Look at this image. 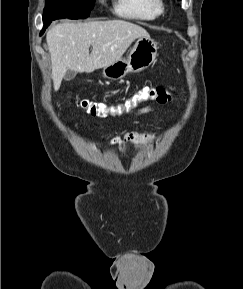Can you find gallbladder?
<instances>
[{
    "label": "gallbladder",
    "mask_w": 243,
    "mask_h": 289,
    "mask_svg": "<svg viewBox=\"0 0 243 289\" xmlns=\"http://www.w3.org/2000/svg\"><path fill=\"white\" fill-rule=\"evenodd\" d=\"M76 73L72 70H67L64 76V79L66 81H71L75 77Z\"/></svg>",
    "instance_id": "bac80fb5"
}]
</instances>
